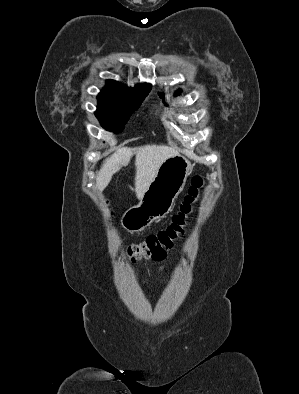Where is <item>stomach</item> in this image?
I'll return each instance as SVG.
<instances>
[{"label": "stomach", "instance_id": "obj_1", "mask_svg": "<svg viewBox=\"0 0 299 394\" xmlns=\"http://www.w3.org/2000/svg\"><path fill=\"white\" fill-rule=\"evenodd\" d=\"M191 170L190 162L179 155L166 159L139 205L124 213L121 220L123 228L129 232L142 231L152 222L165 217L183 190Z\"/></svg>", "mask_w": 299, "mask_h": 394}]
</instances>
